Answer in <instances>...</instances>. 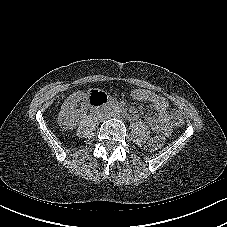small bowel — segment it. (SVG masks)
Wrapping results in <instances>:
<instances>
[{
	"mask_svg": "<svg viewBox=\"0 0 227 227\" xmlns=\"http://www.w3.org/2000/svg\"><path fill=\"white\" fill-rule=\"evenodd\" d=\"M131 96L135 100L150 103L156 111V118H148V124L153 131L161 132L165 135H169L171 133L172 128L169 114V104L166 98L145 89L134 90L132 91Z\"/></svg>",
	"mask_w": 227,
	"mask_h": 227,
	"instance_id": "1",
	"label": "small bowel"
}]
</instances>
